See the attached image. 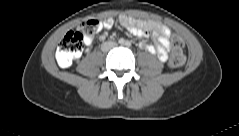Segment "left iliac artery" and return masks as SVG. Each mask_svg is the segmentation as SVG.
I'll return each mask as SVG.
<instances>
[{
  "mask_svg": "<svg viewBox=\"0 0 239 136\" xmlns=\"http://www.w3.org/2000/svg\"><path fill=\"white\" fill-rule=\"evenodd\" d=\"M125 45L129 47V46H131V42L130 41H126Z\"/></svg>",
  "mask_w": 239,
  "mask_h": 136,
  "instance_id": "left-iliac-artery-1",
  "label": "left iliac artery"
}]
</instances>
